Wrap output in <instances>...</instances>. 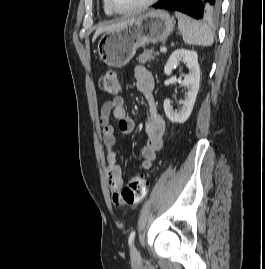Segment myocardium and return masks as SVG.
Instances as JSON below:
<instances>
[{
  "label": "myocardium",
  "mask_w": 265,
  "mask_h": 269,
  "mask_svg": "<svg viewBox=\"0 0 265 269\" xmlns=\"http://www.w3.org/2000/svg\"><path fill=\"white\" fill-rule=\"evenodd\" d=\"M106 1H107V4L112 12L117 13V14H132V13H138V12H141V11L147 9L148 7L153 5L158 0H146L143 3L139 4L138 6L130 8V9H118L113 4L112 0H106Z\"/></svg>",
  "instance_id": "myocardium-1"
}]
</instances>
